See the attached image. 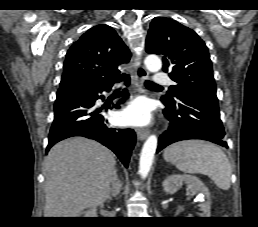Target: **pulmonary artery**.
<instances>
[{"instance_id":"1","label":"pulmonary artery","mask_w":258,"mask_h":227,"mask_svg":"<svg viewBox=\"0 0 258 227\" xmlns=\"http://www.w3.org/2000/svg\"><path fill=\"white\" fill-rule=\"evenodd\" d=\"M154 83L157 85L170 84L171 80L166 74L156 73L154 75Z\"/></svg>"}]
</instances>
